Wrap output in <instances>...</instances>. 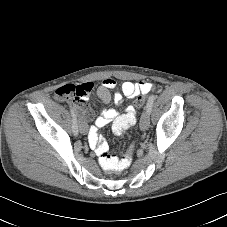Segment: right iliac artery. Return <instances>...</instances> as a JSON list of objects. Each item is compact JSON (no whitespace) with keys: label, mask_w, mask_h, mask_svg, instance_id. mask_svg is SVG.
Wrapping results in <instances>:
<instances>
[{"label":"right iliac artery","mask_w":227,"mask_h":227,"mask_svg":"<svg viewBox=\"0 0 227 227\" xmlns=\"http://www.w3.org/2000/svg\"><path fill=\"white\" fill-rule=\"evenodd\" d=\"M70 112H71V116H72V131L74 133V135L78 134V125H77V116L76 113L74 111V109L71 107L70 108Z\"/></svg>","instance_id":"82829eb1"}]
</instances>
